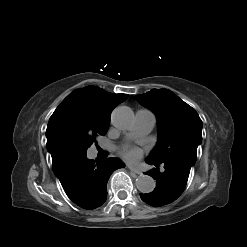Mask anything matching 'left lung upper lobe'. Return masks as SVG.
<instances>
[{"label": "left lung upper lobe", "mask_w": 247, "mask_h": 247, "mask_svg": "<svg viewBox=\"0 0 247 247\" xmlns=\"http://www.w3.org/2000/svg\"><path fill=\"white\" fill-rule=\"evenodd\" d=\"M135 98L157 116L158 143L148 159L156 163L179 161L193 166L203 126L195 109L167 89H152Z\"/></svg>", "instance_id": "5c2ea615"}]
</instances>
